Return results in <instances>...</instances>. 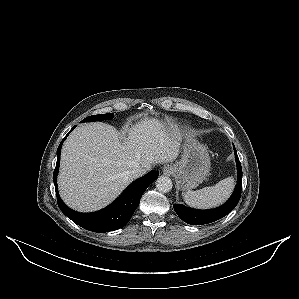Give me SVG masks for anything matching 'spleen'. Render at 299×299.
<instances>
[{"mask_svg": "<svg viewBox=\"0 0 299 299\" xmlns=\"http://www.w3.org/2000/svg\"><path fill=\"white\" fill-rule=\"evenodd\" d=\"M234 187L232 177L219 181L214 186L204 187L196 191L184 192L183 199L186 204L199 209L216 207L227 200Z\"/></svg>", "mask_w": 299, "mask_h": 299, "instance_id": "obj_1", "label": "spleen"}]
</instances>
